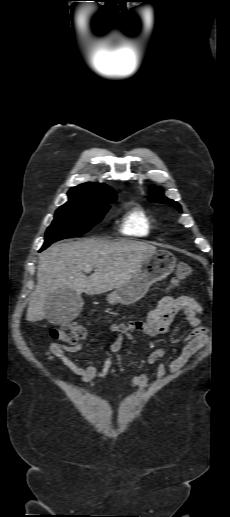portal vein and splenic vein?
I'll return each mask as SVG.
<instances>
[{
  "label": "portal vein and splenic vein",
  "instance_id": "18ae733b",
  "mask_svg": "<svg viewBox=\"0 0 230 517\" xmlns=\"http://www.w3.org/2000/svg\"><path fill=\"white\" fill-rule=\"evenodd\" d=\"M92 270H93V268L91 266H87V267L84 268L85 272H90Z\"/></svg>",
  "mask_w": 230,
  "mask_h": 517
}]
</instances>
